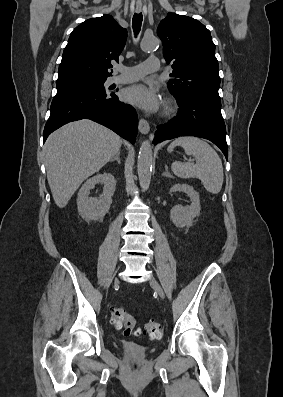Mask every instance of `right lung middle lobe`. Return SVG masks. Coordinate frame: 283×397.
Wrapping results in <instances>:
<instances>
[{"label": "right lung middle lobe", "mask_w": 283, "mask_h": 397, "mask_svg": "<svg viewBox=\"0 0 283 397\" xmlns=\"http://www.w3.org/2000/svg\"><path fill=\"white\" fill-rule=\"evenodd\" d=\"M106 78H72L56 81L57 92H62L73 88H87L105 90L104 82Z\"/></svg>", "instance_id": "dd1d6c3e"}]
</instances>
